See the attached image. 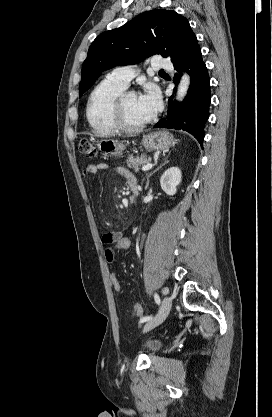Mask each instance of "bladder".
I'll list each match as a JSON object with an SVG mask.
<instances>
[{"instance_id": "obj_1", "label": "bladder", "mask_w": 272, "mask_h": 417, "mask_svg": "<svg viewBox=\"0 0 272 417\" xmlns=\"http://www.w3.org/2000/svg\"><path fill=\"white\" fill-rule=\"evenodd\" d=\"M162 347V343L159 340H148L144 343L143 348L149 354L158 352Z\"/></svg>"}]
</instances>
